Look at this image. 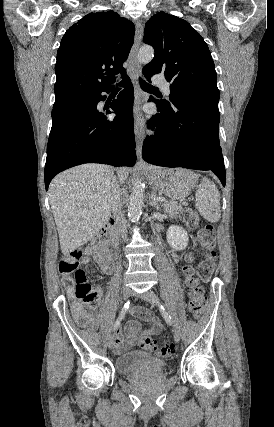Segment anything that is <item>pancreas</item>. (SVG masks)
Listing matches in <instances>:
<instances>
[{"label": "pancreas", "mask_w": 274, "mask_h": 427, "mask_svg": "<svg viewBox=\"0 0 274 427\" xmlns=\"http://www.w3.org/2000/svg\"><path fill=\"white\" fill-rule=\"evenodd\" d=\"M165 214L169 217H178V214L183 210V204H177V202H164L163 204Z\"/></svg>", "instance_id": "1"}]
</instances>
